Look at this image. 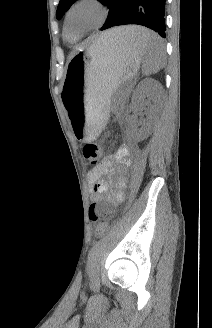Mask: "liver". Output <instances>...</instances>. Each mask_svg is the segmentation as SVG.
I'll return each instance as SVG.
<instances>
[{
    "mask_svg": "<svg viewBox=\"0 0 212 328\" xmlns=\"http://www.w3.org/2000/svg\"><path fill=\"white\" fill-rule=\"evenodd\" d=\"M133 28L134 27L132 26L114 28L112 30L102 33L98 39L104 40L109 38H116V39L119 38V39L130 41L131 32Z\"/></svg>",
    "mask_w": 212,
    "mask_h": 328,
    "instance_id": "liver-1",
    "label": "liver"
}]
</instances>
